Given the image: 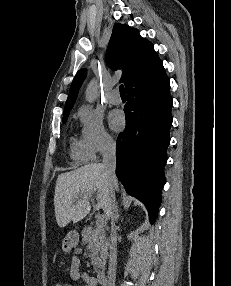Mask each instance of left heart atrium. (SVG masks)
<instances>
[{
    "label": "left heart atrium",
    "instance_id": "obj_1",
    "mask_svg": "<svg viewBox=\"0 0 231 286\" xmlns=\"http://www.w3.org/2000/svg\"><path fill=\"white\" fill-rule=\"evenodd\" d=\"M110 127L118 132L121 131L125 125V117L121 111L114 110L109 114Z\"/></svg>",
    "mask_w": 231,
    "mask_h": 286
}]
</instances>
